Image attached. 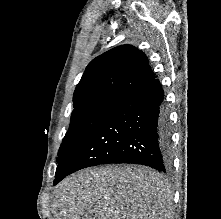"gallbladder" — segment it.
Instances as JSON below:
<instances>
[{"label": "gallbladder", "instance_id": "gallbladder-1", "mask_svg": "<svg viewBox=\"0 0 221 219\" xmlns=\"http://www.w3.org/2000/svg\"><path fill=\"white\" fill-rule=\"evenodd\" d=\"M81 219H96L94 214L91 213V212H86L82 217Z\"/></svg>", "mask_w": 221, "mask_h": 219}]
</instances>
